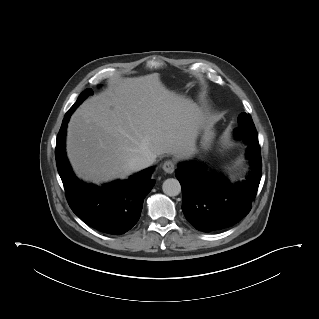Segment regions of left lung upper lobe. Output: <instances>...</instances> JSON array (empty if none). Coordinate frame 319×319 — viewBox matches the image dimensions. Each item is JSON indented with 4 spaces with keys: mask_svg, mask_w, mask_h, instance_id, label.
<instances>
[{
    "mask_svg": "<svg viewBox=\"0 0 319 319\" xmlns=\"http://www.w3.org/2000/svg\"><path fill=\"white\" fill-rule=\"evenodd\" d=\"M238 124H239V127H243L247 129H255L251 116L244 112L238 116Z\"/></svg>",
    "mask_w": 319,
    "mask_h": 319,
    "instance_id": "5c2ea615",
    "label": "left lung upper lobe"
}]
</instances>
